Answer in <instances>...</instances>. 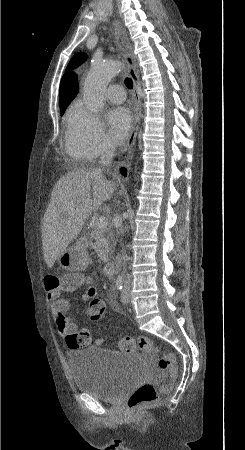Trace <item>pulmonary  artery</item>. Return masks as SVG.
I'll list each match as a JSON object with an SVG mask.
<instances>
[{
  "mask_svg": "<svg viewBox=\"0 0 245 450\" xmlns=\"http://www.w3.org/2000/svg\"><path fill=\"white\" fill-rule=\"evenodd\" d=\"M106 97L110 102L123 103L125 101L124 87L118 83H111L106 89Z\"/></svg>",
  "mask_w": 245,
  "mask_h": 450,
  "instance_id": "obj_1",
  "label": "pulmonary artery"
}]
</instances>
